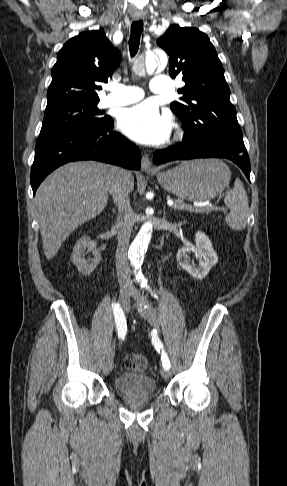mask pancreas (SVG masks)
Returning <instances> with one entry per match:
<instances>
[{"label": "pancreas", "instance_id": "cf45deb5", "mask_svg": "<svg viewBox=\"0 0 287 486\" xmlns=\"http://www.w3.org/2000/svg\"><path fill=\"white\" fill-rule=\"evenodd\" d=\"M175 204L177 205V204H185V203L182 200L178 199V200L175 201ZM174 209H177V208H174ZM211 211H213V208H208L204 212L210 213Z\"/></svg>", "mask_w": 287, "mask_h": 486}]
</instances>
